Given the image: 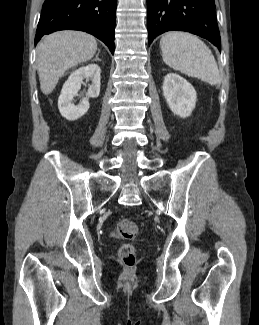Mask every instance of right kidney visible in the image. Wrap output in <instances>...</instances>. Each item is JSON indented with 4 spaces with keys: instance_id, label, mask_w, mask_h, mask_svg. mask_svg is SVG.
<instances>
[{
    "instance_id": "ca27d5eb",
    "label": "right kidney",
    "mask_w": 259,
    "mask_h": 325,
    "mask_svg": "<svg viewBox=\"0 0 259 325\" xmlns=\"http://www.w3.org/2000/svg\"><path fill=\"white\" fill-rule=\"evenodd\" d=\"M100 67L97 64H89L75 70L64 83L58 98V108L61 115L67 120L73 121L82 117L89 109V98H97L100 94ZM91 79L86 97L75 105L74 97L81 88L83 80Z\"/></svg>"
}]
</instances>
